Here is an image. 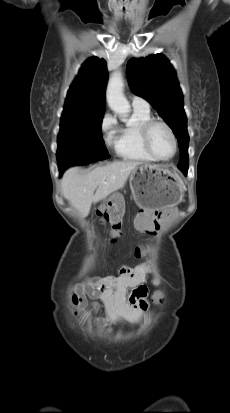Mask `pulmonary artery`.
Wrapping results in <instances>:
<instances>
[{"instance_id": "obj_1", "label": "pulmonary artery", "mask_w": 230, "mask_h": 413, "mask_svg": "<svg viewBox=\"0 0 230 413\" xmlns=\"http://www.w3.org/2000/svg\"><path fill=\"white\" fill-rule=\"evenodd\" d=\"M132 106L135 108L149 109V103L145 99L137 96L132 98Z\"/></svg>"}]
</instances>
